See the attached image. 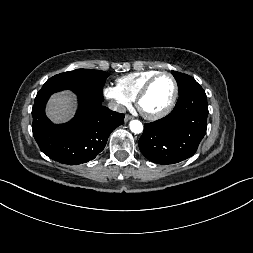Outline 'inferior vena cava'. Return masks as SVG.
Instances as JSON below:
<instances>
[{
	"label": "inferior vena cava",
	"mask_w": 253,
	"mask_h": 253,
	"mask_svg": "<svg viewBox=\"0 0 253 253\" xmlns=\"http://www.w3.org/2000/svg\"><path fill=\"white\" fill-rule=\"evenodd\" d=\"M108 107L113 110V111H118L120 113H125L126 112V108L123 105L118 104L115 101H111L108 104Z\"/></svg>",
	"instance_id": "602c4592"
}]
</instances>
